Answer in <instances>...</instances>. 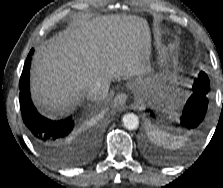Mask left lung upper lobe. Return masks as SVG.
Returning <instances> with one entry per match:
<instances>
[{
	"mask_svg": "<svg viewBox=\"0 0 223 188\" xmlns=\"http://www.w3.org/2000/svg\"><path fill=\"white\" fill-rule=\"evenodd\" d=\"M193 91H198L204 95H208L210 91V82L205 72L201 71L198 77L195 78ZM189 139L190 138L187 136H181L176 139L173 138L172 142L176 140V145L179 146V148H185L187 146V143L189 142ZM169 142H171V140H169ZM145 154L150 160L158 163H165L174 159V156L169 154V150L164 149L163 147L147 148Z\"/></svg>",
	"mask_w": 223,
	"mask_h": 188,
	"instance_id": "obj_1",
	"label": "left lung upper lobe"
}]
</instances>
